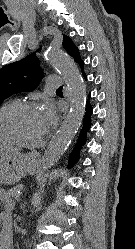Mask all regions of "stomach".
Returning <instances> with one entry per match:
<instances>
[{"instance_id": "0dacf381", "label": "stomach", "mask_w": 135, "mask_h": 249, "mask_svg": "<svg viewBox=\"0 0 135 249\" xmlns=\"http://www.w3.org/2000/svg\"><path fill=\"white\" fill-rule=\"evenodd\" d=\"M38 166V154H21L17 150L0 149V183L15 184L27 173L32 174Z\"/></svg>"}]
</instances>
